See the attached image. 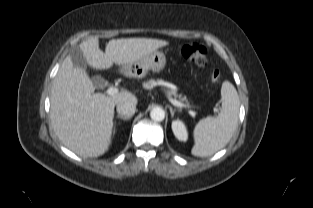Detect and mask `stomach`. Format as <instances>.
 <instances>
[{"label": "stomach", "mask_w": 313, "mask_h": 208, "mask_svg": "<svg viewBox=\"0 0 313 208\" xmlns=\"http://www.w3.org/2000/svg\"><path fill=\"white\" fill-rule=\"evenodd\" d=\"M166 66V56L161 51H153L141 59L136 60L121 68V72L127 77L143 78L148 71L160 72Z\"/></svg>", "instance_id": "obj_1"}]
</instances>
